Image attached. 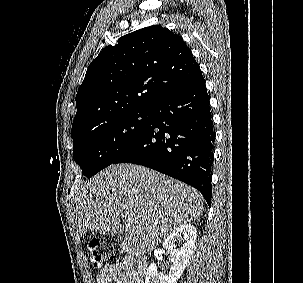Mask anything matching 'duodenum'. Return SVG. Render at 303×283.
Wrapping results in <instances>:
<instances>
[{
	"instance_id": "410a0bca",
	"label": "duodenum",
	"mask_w": 303,
	"mask_h": 283,
	"mask_svg": "<svg viewBox=\"0 0 303 283\" xmlns=\"http://www.w3.org/2000/svg\"><path fill=\"white\" fill-rule=\"evenodd\" d=\"M136 257H137L136 263L138 269L145 274L147 267L146 259L141 254L136 255Z\"/></svg>"
}]
</instances>
